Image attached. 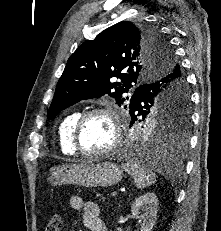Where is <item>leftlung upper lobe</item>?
<instances>
[{
    "mask_svg": "<svg viewBox=\"0 0 221 231\" xmlns=\"http://www.w3.org/2000/svg\"><path fill=\"white\" fill-rule=\"evenodd\" d=\"M174 71L184 78L168 40L157 28L121 21L105 29L94 40L85 41L70 56L57 83L47 116L53 118L80 100L105 94L114 97L116 104L121 106L128 99L123 94L135 88L142 79H160ZM115 77L120 81L115 82ZM179 80L174 81L178 84ZM174 94L187 100L186 104L174 107L169 101ZM188 105L187 90L178 85L171 95L170 92L155 94L139 106L130 100L129 113L133 123L155 116L158 124L154 131L160 136L166 130H171V134L175 132L172 137L186 136Z\"/></svg>",
    "mask_w": 221,
    "mask_h": 231,
    "instance_id": "5c2ea615",
    "label": "left lung upper lobe"
}]
</instances>
